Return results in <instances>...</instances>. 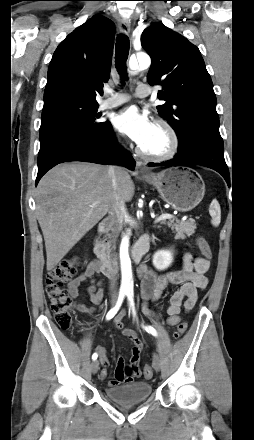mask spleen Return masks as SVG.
Wrapping results in <instances>:
<instances>
[{
    "mask_svg": "<svg viewBox=\"0 0 254 440\" xmlns=\"http://www.w3.org/2000/svg\"><path fill=\"white\" fill-rule=\"evenodd\" d=\"M210 215L212 217L211 223L213 226H218L221 220V211L219 203L216 199L211 202L209 208Z\"/></svg>",
    "mask_w": 254,
    "mask_h": 440,
    "instance_id": "1",
    "label": "spleen"
}]
</instances>
